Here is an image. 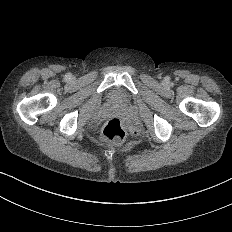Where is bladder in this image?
<instances>
[{
    "instance_id": "bladder-1",
    "label": "bladder",
    "mask_w": 232,
    "mask_h": 232,
    "mask_svg": "<svg viewBox=\"0 0 232 232\" xmlns=\"http://www.w3.org/2000/svg\"><path fill=\"white\" fill-rule=\"evenodd\" d=\"M110 99L114 102V103H125L126 102V98L124 95H122L121 93L114 91L111 95H110Z\"/></svg>"
}]
</instances>
